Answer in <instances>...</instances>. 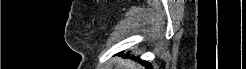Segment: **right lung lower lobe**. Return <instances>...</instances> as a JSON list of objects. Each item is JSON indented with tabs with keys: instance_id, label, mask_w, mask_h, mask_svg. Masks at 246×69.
I'll use <instances>...</instances> for the list:
<instances>
[{
	"instance_id": "right-lung-lower-lobe-1",
	"label": "right lung lower lobe",
	"mask_w": 246,
	"mask_h": 69,
	"mask_svg": "<svg viewBox=\"0 0 246 69\" xmlns=\"http://www.w3.org/2000/svg\"><path fill=\"white\" fill-rule=\"evenodd\" d=\"M143 63H144V61H143ZM145 66H147L148 68H151L150 65H147V63L145 64Z\"/></svg>"
}]
</instances>
